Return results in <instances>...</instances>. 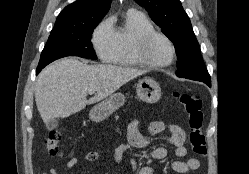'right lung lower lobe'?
Instances as JSON below:
<instances>
[{"instance_id": "98d812e1", "label": "right lung lower lobe", "mask_w": 249, "mask_h": 174, "mask_svg": "<svg viewBox=\"0 0 249 174\" xmlns=\"http://www.w3.org/2000/svg\"><path fill=\"white\" fill-rule=\"evenodd\" d=\"M42 68L37 67L36 74H38L41 71Z\"/></svg>"}]
</instances>
